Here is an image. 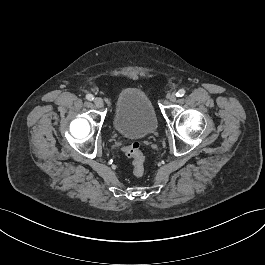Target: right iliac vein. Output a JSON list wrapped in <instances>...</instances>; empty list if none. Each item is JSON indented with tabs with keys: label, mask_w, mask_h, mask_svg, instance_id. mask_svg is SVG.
<instances>
[{
	"label": "right iliac vein",
	"mask_w": 265,
	"mask_h": 265,
	"mask_svg": "<svg viewBox=\"0 0 265 265\" xmlns=\"http://www.w3.org/2000/svg\"><path fill=\"white\" fill-rule=\"evenodd\" d=\"M94 104L98 107V108H102L104 103L103 100L101 98H95L94 99Z\"/></svg>",
	"instance_id": "right-iliac-vein-1"
}]
</instances>
